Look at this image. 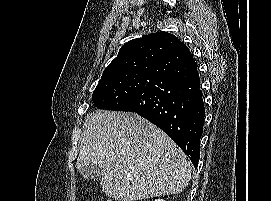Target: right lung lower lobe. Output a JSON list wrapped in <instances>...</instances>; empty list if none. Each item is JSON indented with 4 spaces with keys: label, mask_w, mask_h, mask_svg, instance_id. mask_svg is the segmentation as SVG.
<instances>
[{
    "label": "right lung lower lobe",
    "mask_w": 271,
    "mask_h": 201,
    "mask_svg": "<svg viewBox=\"0 0 271 201\" xmlns=\"http://www.w3.org/2000/svg\"><path fill=\"white\" fill-rule=\"evenodd\" d=\"M150 70L153 78L148 88L122 100L118 111L136 112L161 128L196 168L205 108L195 60L181 42Z\"/></svg>",
    "instance_id": "1"
}]
</instances>
